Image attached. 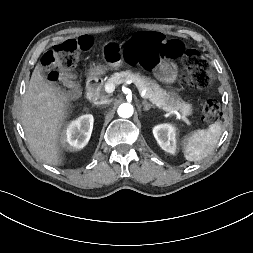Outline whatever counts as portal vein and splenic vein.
Listing matches in <instances>:
<instances>
[{"instance_id":"18ae733b","label":"portal vein and splenic vein","mask_w":253,"mask_h":253,"mask_svg":"<svg viewBox=\"0 0 253 253\" xmlns=\"http://www.w3.org/2000/svg\"><path fill=\"white\" fill-rule=\"evenodd\" d=\"M104 89H105V92L112 93L115 90V85L112 83H108L105 85ZM138 90L140 92L141 97L147 98V94L145 90H142V89H138ZM174 113L176 114L177 117L182 118L186 123H189L185 115L181 116L177 111H174Z\"/></svg>"}]
</instances>
